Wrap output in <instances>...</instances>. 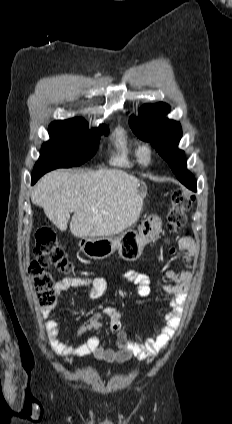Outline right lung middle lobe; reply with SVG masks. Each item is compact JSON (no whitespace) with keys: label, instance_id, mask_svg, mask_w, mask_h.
I'll return each instance as SVG.
<instances>
[{"label":"right lung middle lobe","instance_id":"1","mask_svg":"<svg viewBox=\"0 0 232 424\" xmlns=\"http://www.w3.org/2000/svg\"><path fill=\"white\" fill-rule=\"evenodd\" d=\"M108 127L89 130L81 118L54 121L49 126L50 140L42 145L40 158L35 164L32 177L60 167L78 166L96 153L99 135L108 134Z\"/></svg>","mask_w":232,"mask_h":424}]
</instances>
